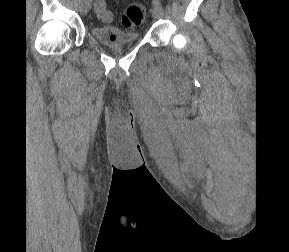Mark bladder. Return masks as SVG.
<instances>
[{"label":"bladder","mask_w":289,"mask_h":252,"mask_svg":"<svg viewBox=\"0 0 289 252\" xmlns=\"http://www.w3.org/2000/svg\"><path fill=\"white\" fill-rule=\"evenodd\" d=\"M91 31L97 40L110 47L130 45L139 39L138 32L124 31L114 26H94Z\"/></svg>","instance_id":"bladder-1"}]
</instances>
